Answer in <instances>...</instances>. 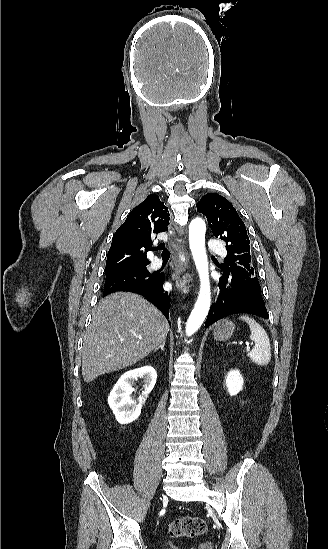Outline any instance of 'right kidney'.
I'll list each match as a JSON object with an SVG mask.
<instances>
[{
	"instance_id": "right-kidney-1",
	"label": "right kidney",
	"mask_w": 328,
	"mask_h": 549,
	"mask_svg": "<svg viewBox=\"0 0 328 549\" xmlns=\"http://www.w3.org/2000/svg\"><path fill=\"white\" fill-rule=\"evenodd\" d=\"M138 377L144 379V389L142 395H140L137 401L131 399L130 395L135 391L132 385L137 381ZM157 379V373L153 367H140V369H133V371H127L116 385H114L109 397L108 405L111 407L118 423L121 425H127L132 423L135 419H138L142 405L144 403V397L151 393Z\"/></svg>"
}]
</instances>
